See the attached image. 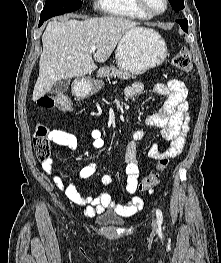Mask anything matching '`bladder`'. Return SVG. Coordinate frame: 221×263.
Masks as SVG:
<instances>
[{
	"mask_svg": "<svg viewBox=\"0 0 221 263\" xmlns=\"http://www.w3.org/2000/svg\"><path fill=\"white\" fill-rule=\"evenodd\" d=\"M97 221L104 225H119L123 220L114 215H105L97 218Z\"/></svg>",
	"mask_w": 221,
	"mask_h": 263,
	"instance_id": "bladder-1",
	"label": "bladder"
}]
</instances>
